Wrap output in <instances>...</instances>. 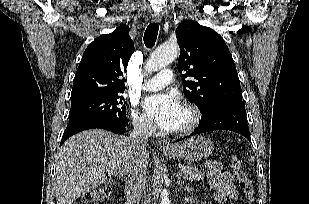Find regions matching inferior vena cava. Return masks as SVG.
Wrapping results in <instances>:
<instances>
[{
	"mask_svg": "<svg viewBox=\"0 0 309 204\" xmlns=\"http://www.w3.org/2000/svg\"><path fill=\"white\" fill-rule=\"evenodd\" d=\"M153 126L147 121H138L128 138L135 154L142 158L146 153V144L151 135ZM147 185L146 165L140 161L126 178L125 195L129 204L136 202L141 197Z\"/></svg>",
	"mask_w": 309,
	"mask_h": 204,
	"instance_id": "1",
	"label": "inferior vena cava"
}]
</instances>
